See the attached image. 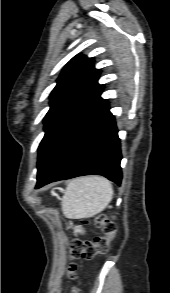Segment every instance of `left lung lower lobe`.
Listing matches in <instances>:
<instances>
[{
    "instance_id": "left-lung-lower-lobe-1",
    "label": "left lung lower lobe",
    "mask_w": 170,
    "mask_h": 293,
    "mask_svg": "<svg viewBox=\"0 0 170 293\" xmlns=\"http://www.w3.org/2000/svg\"><path fill=\"white\" fill-rule=\"evenodd\" d=\"M114 116L106 101L76 132L56 159L37 176L36 188L82 175H102L120 185L121 151Z\"/></svg>"
}]
</instances>
